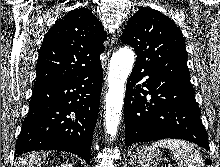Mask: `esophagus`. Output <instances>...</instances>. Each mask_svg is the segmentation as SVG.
I'll list each match as a JSON object with an SVG mask.
<instances>
[{"mask_svg": "<svg viewBox=\"0 0 220 167\" xmlns=\"http://www.w3.org/2000/svg\"><path fill=\"white\" fill-rule=\"evenodd\" d=\"M115 40H116V36H115V34H114V35H113V40H112V42H111V45L114 44Z\"/></svg>", "mask_w": 220, "mask_h": 167, "instance_id": "1", "label": "esophagus"}]
</instances>
